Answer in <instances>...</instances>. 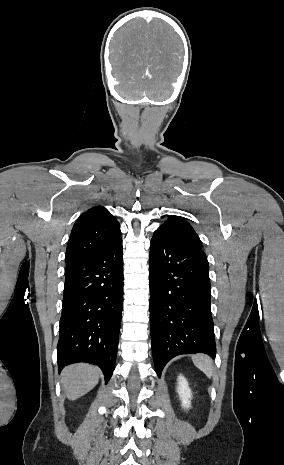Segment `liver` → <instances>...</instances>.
Segmentation results:
<instances>
[{
    "mask_svg": "<svg viewBox=\"0 0 284 465\" xmlns=\"http://www.w3.org/2000/svg\"><path fill=\"white\" fill-rule=\"evenodd\" d=\"M100 371L93 365H70L63 371L62 385L65 389L66 397L69 401H76L89 393L99 381Z\"/></svg>",
    "mask_w": 284,
    "mask_h": 465,
    "instance_id": "6515ba94",
    "label": "liver"
}]
</instances>
